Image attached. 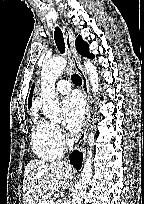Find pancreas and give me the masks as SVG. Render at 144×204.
I'll use <instances>...</instances> for the list:
<instances>
[{
	"mask_svg": "<svg viewBox=\"0 0 144 204\" xmlns=\"http://www.w3.org/2000/svg\"><path fill=\"white\" fill-rule=\"evenodd\" d=\"M49 197H50L49 194H46V195L42 196V198L40 199V201H39L38 204H44L45 200H46L47 198H49Z\"/></svg>",
	"mask_w": 144,
	"mask_h": 204,
	"instance_id": "cf45deb5",
	"label": "pancreas"
}]
</instances>
